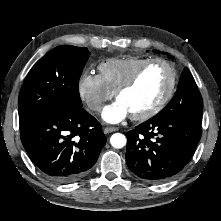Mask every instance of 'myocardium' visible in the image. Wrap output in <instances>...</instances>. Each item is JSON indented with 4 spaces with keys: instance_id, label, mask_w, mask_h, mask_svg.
Returning <instances> with one entry per match:
<instances>
[{
    "instance_id": "obj_1",
    "label": "myocardium",
    "mask_w": 221,
    "mask_h": 221,
    "mask_svg": "<svg viewBox=\"0 0 221 221\" xmlns=\"http://www.w3.org/2000/svg\"><path fill=\"white\" fill-rule=\"evenodd\" d=\"M161 64L163 66H165L169 73H170V81H169V85L166 89V91L163 93V95L159 98V100L149 109H147L146 111L142 112V113H138V114H131V118L133 120L136 121H145L148 120L152 117H154L155 115H157L164 107L165 105L169 102V100L171 99L176 85H177V73L176 70L174 68V66L164 60V59H160V58H152V59H147L144 63H142L132 74L129 78H127L116 90H115V97L116 99L119 98V96L125 92L126 90H128L129 88H131L134 84H136V82L138 81V79L140 78V76L142 75V73L151 65L153 64Z\"/></svg>"
}]
</instances>
